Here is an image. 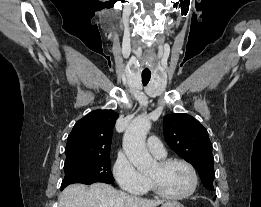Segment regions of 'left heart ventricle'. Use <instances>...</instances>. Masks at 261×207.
<instances>
[{
  "mask_svg": "<svg viewBox=\"0 0 261 207\" xmlns=\"http://www.w3.org/2000/svg\"><path fill=\"white\" fill-rule=\"evenodd\" d=\"M148 176L169 194L185 193L191 185V176L188 169L181 164H172L160 167L157 164L149 171Z\"/></svg>",
  "mask_w": 261,
  "mask_h": 207,
  "instance_id": "b2bd125f",
  "label": "left heart ventricle"
}]
</instances>
